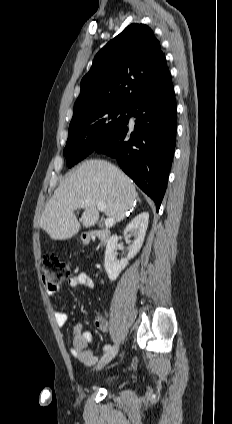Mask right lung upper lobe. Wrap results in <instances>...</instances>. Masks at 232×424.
<instances>
[{
  "mask_svg": "<svg viewBox=\"0 0 232 424\" xmlns=\"http://www.w3.org/2000/svg\"><path fill=\"white\" fill-rule=\"evenodd\" d=\"M169 72L160 43L144 24H131L95 56L81 80L73 117L99 106H132Z\"/></svg>",
  "mask_w": 232,
  "mask_h": 424,
  "instance_id": "obj_1",
  "label": "right lung upper lobe"
}]
</instances>
